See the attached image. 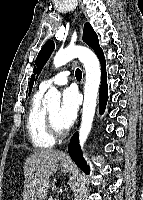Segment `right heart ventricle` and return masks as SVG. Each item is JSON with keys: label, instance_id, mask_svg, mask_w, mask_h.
Returning <instances> with one entry per match:
<instances>
[{"label": "right heart ventricle", "instance_id": "obj_1", "mask_svg": "<svg viewBox=\"0 0 143 200\" xmlns=\"http://www.w3.org/2000/svg\"><path fill=\"white\" fill-rule=\"evenodd\" d=\"M45 91L41 88L34 94L26 118V129L31 144L38 149L50 148L54 145L45 127L46 108L43 104Z\"/></svg>", "mask_w": 143, "mask_h": 200}]
</instances>
